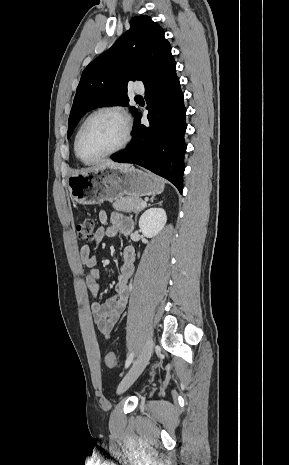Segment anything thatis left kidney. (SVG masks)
I'll return each instance as SVG.
<instances>
[{
  "instance_id": "obj_1",
  "label": "left kidney",
  "mask_w": 289,
  "mask_h": 465,
  "mask_svg": "<svg viewBox=\"0 0 289 465\" xmlns=\"http://www.w3.org/2000/svg\"><path fill=\"white\" fill-rule=\"evenodd\" d=\"M167 222L166 212L162 208H150L140 217L139 228L148 237L156 236Z\"/></svg>"
}]
</instances>
